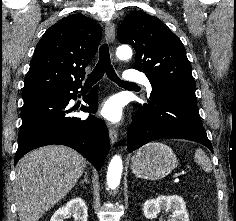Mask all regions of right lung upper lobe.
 <instances>
[{
  "mask_svg": "<svg viewBox=\"0 0 236 221\" xmlns=\"http://www.w3.org/2000/svg\"><path fill=\"white\" fill-rule=\"evenodd\" d=\"M101 37L100 26L84 15L59 20L36 46L22 95L82 84Z\"/></svg>",
  "mask_w": 236,
  "mask_h": 221,
  "instance_id": "right-lung-upper-lobe-1",
  "label": "right lung upper lobe"
}]
</instances>
